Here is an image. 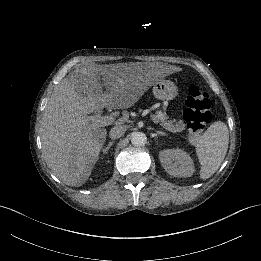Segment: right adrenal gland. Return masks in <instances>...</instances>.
<instances>
[{
  "mask_svg": "<svg viewBox=\"0 0 261 261\" xmlns=\"http://www.w3.org/2000/svg\"><path fill=\"white\" fill-rule=\"evenodd\" d=\"M113 143H114V141L110 142L108 144V146L103 150L104 157H105V155H107L108 151L111 149Z\"/></svg>",
  "mask_w": 261,
  "mask_h": 261,
  "instance_id": "2a0ac1e0",
  "label": "right adrenal gland"
}]
</instances>
